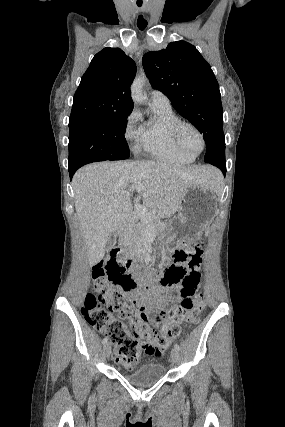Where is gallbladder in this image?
<instances>
[{"label":"gallbladder","mask_w":285,"mask_h":427,"mask_svg":"<svg viewBox=\"0 0 285 427\" xmlns=\"http://www.w3.org/2000/svg\"><path fill=\"white\" fill-rule=\"evenodd\" d=\"M115 243H116L115 238L113 234H111L106 242V247H105L106 251L111 250L115 246Z\"/></svg>","instance_id":"gallbladder-1"}]
</instances>
